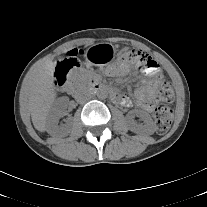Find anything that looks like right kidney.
<instances>
[{
	"mask_svg": "<svg viewBox=\"0 0 207 207\" xmlns=\"http://www.w3.org/2000/svg\"><path fill=\"white\" fill-rule=\"evenodd\" d=\"M67 103L68 99L66 97H61L58 98L51 107L46 124L48 133H54L60 129L58 125L59 119L66 114L65 109L67 108Z\"/></svg>",
	"mask_w": 207,
	"mask_h": 207,
	"instance_id": "obj_1",
	"label": "right kidney"
}]
</instances>
